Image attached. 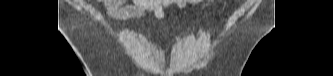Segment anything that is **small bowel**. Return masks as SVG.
<instances>
[{"label": "small bowel", "mask_w": 333, "mask_h": 76, "mask_svg": "<svg viewBox=\"0 0 333 76\" xmlns=\"http://www.w3.org/2000/svg\"><path fill=\"white\" fill-rule=\"evenodd\" d=\"M196 2L195 0H136L128 4L125 0H104L106 15L113 20H123L133 17H142L152 14L157 18H164L163 8L167 5H174L182 9H187Z\"/></svg>", "instance_id": "obj_1"}]
</instances>
